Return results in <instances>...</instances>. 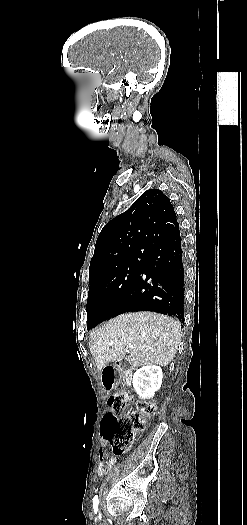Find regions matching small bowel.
Masks as SVG:
<instances>
[{
	"label": "small bowel",
	"instance_id": "obj_1",
	"mask_svg": "<svg viewBox=\"0 0 247 525\" xmlns=\"http://www.w3.org/2000/svg\"><path fill=\"white\" fill-rule=\"evenodd\" d=\"M99 457H100V463L98 466L97 473L99 476H102V475L109 473L117 461L115 456L108 454L107 443L105 440L100 441Z\"/></svg>",
	"mask_w": 247,
	"mask_h": 525
}]
</instances>
